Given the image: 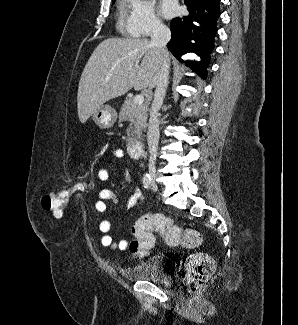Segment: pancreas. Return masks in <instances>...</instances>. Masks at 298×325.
I'll list each match as a JSON object with an SVG mask.
<instances>
[{
    "mask_svg": "<svg viewBox=\"0 0 298 325\" xmlns=\"http://www.w3.org/2000/svg\"><path fill=\"white\" fill-rule=\"evenodd\" d=\"M149 104L148 102H142V104H134L133 96H128L124 100L121 110L119 112V122L123 120H129L130 124L126 130L127 144L141 138L143 130L147 126Z\"/></svg>",
    "mask_w": 298,
    "mask_h": 325,
    "instance_id": "1",
    "label": "pancreas"
}]
</instances>
